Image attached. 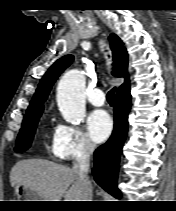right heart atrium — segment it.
Instances as JSON below:
<instances>
[{
  "label": "right heart atrium",
  "instance_id": "obj_1",
  "mask_svg": "<svg viewBox=\"0 0 176 211\" xmlns=\"http://www.w3.org/2000/svg\"><path fill=\"white\" fill-rule=\"evenodd\" d=\"M94 149V143L80 128L65 123L57 125L51 144V152L55 157L74 160L87 157Z\"/></svg>",
  "mask_w": 176,
  "mask_h": 211
}]
</instances>
